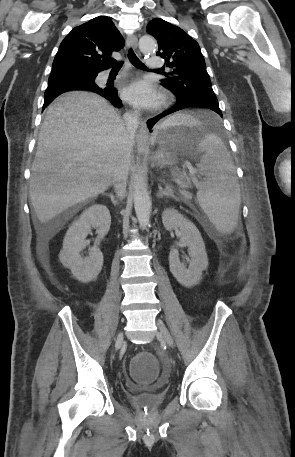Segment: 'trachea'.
Returning <instances> with one entry per match:
<instances>
[{"instance_id":"trachea-1","label":"trachea","mask_w":295,"mask_h":457,"mask_svg":"<svg viewBox=\"0 0 295 457\" xmlns=\"http://www.w3.org/2000/svg\"><path fill=\"white\" fill-rule=\"evenodd\" d=\"M128 58L130 60V62L136 67V68H139V69H146V66L139 60V58L136 56V54L134 53V51L130 48L129 51H128ZM123 65V62H119L117 63L113 69L114 70H120L121 67Z\"/></svg>"}]
</instances>
